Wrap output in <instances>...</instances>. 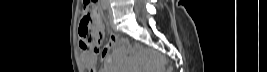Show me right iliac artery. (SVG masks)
<instances>
[{
	"mask_svg": "<svg viewBox=\"0 0 267 72\" xmlns=\"http://www.w3.org/2000/svg\"><path fill=\"white\" fill-rule=\"evenodd\" d=\"M101 6L104 10H106L108 8V2L106 0H102L101 1Z\"/></svg>",
	"mask_w": 267,
	"mask_h": 72,
	"instance_id": "obj_1",
	"label": "right iliac artery"
}]
</instances>
